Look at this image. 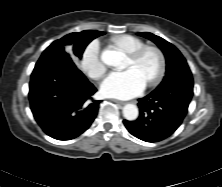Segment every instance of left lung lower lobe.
Wrapping results in <instances>:
<instances>
[{"label": "left lung lower lobe", "mask_w": 222, "mask_h": 187, "mask_svg": "<svg viewBox=\"0 0 222 187\" xmlns=\"http://www.w3.org/2000/svg\"><path fill=\"white\" fill-rule=\"evenodd\" d=\"M169 90L151 92L138 100V119L123 121L132 135L146 142H158L172 135L181 125L193 95L192 77L182 79L180 91L164 95Z\"/></svg>", "instance_id": "obj_1"}]
</instances>
